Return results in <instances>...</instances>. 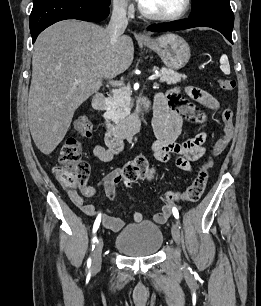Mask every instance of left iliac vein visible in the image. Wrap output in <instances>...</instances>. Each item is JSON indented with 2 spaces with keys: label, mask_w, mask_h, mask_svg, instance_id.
Listing matches in <instances>:
<instances>
[{
  "label": "left iliac vein",
  "mask_w": 261,
  "mask_h": 306,
  "mask_svg": "<svg viewBox=\"0 0 261 306\" xmlns=\"http://www.w3.org/2000/svg\"><path fill=\"white\" fill-rule=\"evenodd\" d=\"M171 232H172V237H173L174 241L179 245L180 242H181V231H180L179 222L176 221L172 225Z\"/></svg>",
  "instance_id": "1"
}]
</instances>
